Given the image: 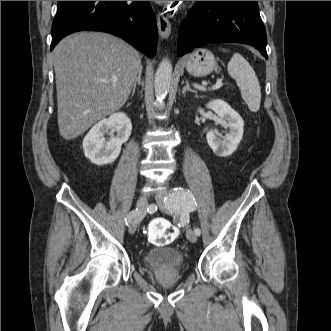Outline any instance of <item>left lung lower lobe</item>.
Returning a JSON list of instances; mask_svg holds the SVG:
<instances>
[{
	"mask_svg": "<svg viewBox=\"0 0 331 331\" xmlns=\"http://www.w3.org/2000/svg\"><path fill=\"white\" fill-rule=\"evenodd\" d=\"M254 46L267 59V37L257 1H200L181 24L179 55L207 43Z\"/></svg>",
	"mask_w": 331,
	"mask_h": 331,
	"instance_id": "obj_1",
	"label": "left lung lower lobe"
}]
</instances>
